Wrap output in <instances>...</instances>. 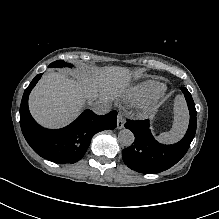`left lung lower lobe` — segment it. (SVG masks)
<instances>
[{"label": "left lung lower lobe", "mask_w": 219, "mask_h": 219, "mask_svg": "<svg viewBox=\"0 0 219 219\" xmlns=\"http://www.w3.org/2000/svg\"><path fill=\"white\" fill-rule=\"evenodd\" d=\"M190 112L189 128L178 143L164 145L153 137L148 120H129L125 127L135 136L134 143L122 151L125 164L134 171L145 174L159 173L175 165L187 152L195 136L197 118L191 94L181 87Z\"/></svg>", "instance_id": "0a47b994"}]
</instances>
